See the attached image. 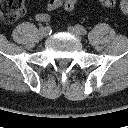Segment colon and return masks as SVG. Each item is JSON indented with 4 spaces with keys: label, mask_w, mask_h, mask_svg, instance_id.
Here are the masks:
<instances>
[{
    "label": "colon",
    "mask_w": 128,
    "mask_h": 128,
    "mask_svg": "<svg viewBox=\"0 0 128 128\" xmlns=\"http://www.w3.org/2000/svg\"><path fill=\"white\" fill-rule=\"evenodd\" d=\"M102 6L111 8L116 4V0H97ZM77 4V0H65L64 9L72 12ZM121 10L128 15V0H120ZM24 12V0H0V18L7 23L14 22Z\"/></svg>",
    "instance_id": "obj_1"
}]
</instances>
